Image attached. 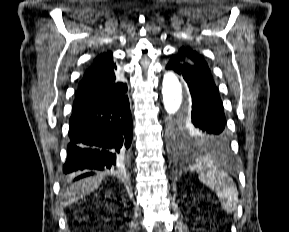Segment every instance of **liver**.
Listing matches in <instances>:
<instances>
[{
	"label": "liver",
	"instance_id": "obj_1",
	"mask_svg": "<svg viewBox=\"0 0 289 232\" xmlns=\"http://www.w3.org/2000/svg\"><path fill=\"white\" fill-rule=\"evenodd\" d=\"M103 180V175L98 174L93 177H88L72 184L69 190L64 194L65 203L69 204L77 199L90 194L96 190Z\"/></svg>",
	"mask_w": 289,
	"mask_h": 232
}]
</instances>
